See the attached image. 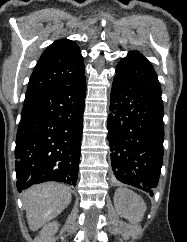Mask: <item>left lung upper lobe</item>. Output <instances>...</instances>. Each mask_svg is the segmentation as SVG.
Wrapping results in <instances>:
<instances>
[{
  "mask_svg": "<svg viewBox=\"0 0 187 242\" xmlns=\"http://www.w3.org/2000/svg\"><path fill=\"white\" fill-rule=\"evenodd\" d=\"M116 74L152 92L161 94L160 83L151 63L138 51H129L116 67Z\"/></svg>",
  "mask_w": 187,
  "mask_h": 242,
  "instance_id": "left-lung-upper-lobe-1",
  "label": "left lung upper lobe"
}]
</instances>
